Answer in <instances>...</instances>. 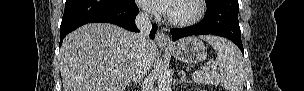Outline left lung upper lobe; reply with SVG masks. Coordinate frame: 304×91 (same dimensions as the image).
Instances as JSON below:
<instances>
[{"label": "left lung upper lobe", "mask_w": 304, "mask_h": 91, "mask_svg": "<svg viewBox=\"0 0 304 91\" xmlns=\"http://www.w3.org/2000/svg\"><path fill=\"white\" fill-rule=\"evenodd\" d=\"M215 1H216V0H205L206 5L211 4V3L215 2Z\"/></svg>", "instance_id": "5c2ea615"}]
</instances>
